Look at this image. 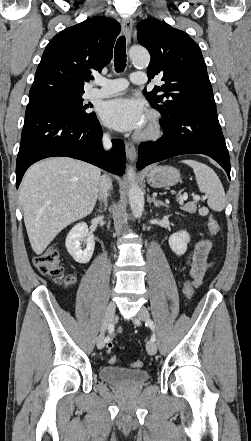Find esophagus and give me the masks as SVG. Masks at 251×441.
<instances>
[{
  "label": "esophagus",
  "mask_w": 251,
  "mask_h": 441,
  "mask_svg": "<svg viewBox=\"0 0 251 441\" xmlns=\"http://www.w3.org/2000/svg\"><path fill=\"white\" fill-rule=\"evenodd\" d=\"M122 29L124 32V35L126 37L127 43H130L131 40V33H132V27H133V21L131 18H124L122 19ZM125 148H126V154L130 161H134L136 159V148L133 143L131 142H125Z\"/></svg>",
  "instance_id": "esophagus-1"
}]
</instances>
